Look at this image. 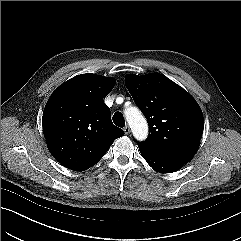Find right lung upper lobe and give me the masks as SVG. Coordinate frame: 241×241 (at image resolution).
Masks as SVG:
<instances>
[{
    "instance_id": "1",
    "label": "right lung upper lobe",
    "mask_w": 241,
    "mask_h": 241,
    "mask_svg": "<svg viewBox=\"0 0 241 241\" xmlns=\"http://www.w3.org/2000/svg\"><path fill=\"white\" fill-rule=\"evenodd\" d=\"M115 81L94 74L73 77L50 96L43 132L52 156L63 166L84 171L95 165L124 131L113 125L104 103Z\"/></svg>"
}]
</instances>
